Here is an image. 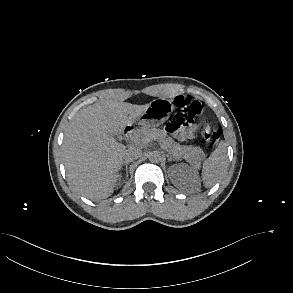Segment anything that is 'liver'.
<instances>
[{
    "label": "liver",
    "instance_id": "obj_1",
    "mask_svg": "<svg viewBox=\"0 0 293 293\" xmlns=\"http://www.w3.org/2000/svg\"><path fill=\"white\" fill-rule=\"evenodd\" d=\"M148 105L103 100L82 109L69 123L62 144L63 160L70 185L81 195L100 200L113 193L126 151L114 136L122 134ZM132 147L142 148L140 144Z\"/></svg>",
    "mask_w": 293,
    "mask_h": 293
}]
</instances>
